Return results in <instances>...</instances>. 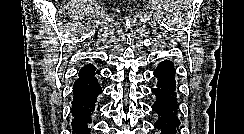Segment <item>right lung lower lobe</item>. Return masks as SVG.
Masks as SVG:
<instances>
[{"instance_id":"1","label":"right lung lower lobe","mask_w":244,"mask_h":134,"mask_svg":"<svg viewBox=\"0 0 244 134\" xmlns=\"http://www.w3.org/2000/svg\"><path fill=\"white\" fill-rule=\"evenodd\" d=\"M72 128L73 134H90L91 114L97 106V97L102 88L95 76L79 78L73 87ZM99 109V104L98 108Z\"/></svg>"}]
</instances>
